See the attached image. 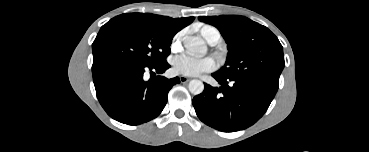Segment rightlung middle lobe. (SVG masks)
I'll return each mask as SVG.
<instances>
[{"label": "right lung middle lobe", "mask_w": 369, "mask_h": 152, "mask_svg": "<svg viewBox=\"0 0 369 152\" xmlns=\"http://www.w3.org/2000/svg\"><path fill=\"white\" fill-rule=\"evenodd\" d=\"M174 35L140 25L123 14L103 25L92 44V72L116 63L154 66L166 61Z\"/></svg>", "instance_id": "1"}]
</instances>
